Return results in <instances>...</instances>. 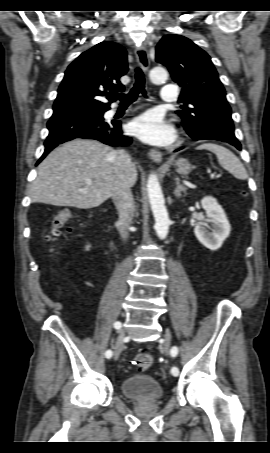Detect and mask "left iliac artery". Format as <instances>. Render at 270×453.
I'll return each instance as SVG.
<instances>
[{
	"label": "left iliac artery",
	"mask_w": 270,
	"mask_h": 453,
	"mask_svg": "<svg viewBox=\"0 0 270 453\" xmlns=\"http://www.w3.org/2000/svg\"><path fill=\"white\" fill-rule=\"evenodd\" d=\"M177 354H178V348H177L176 346H174V347L171 349V355H172L173 357H175ZM171 374H172L173 376H178V374H179V369H178L177 367H175V366L172 367V369H171Z\"/></svg>",
	"instance_id": "obj_1"
}]
</instances>
